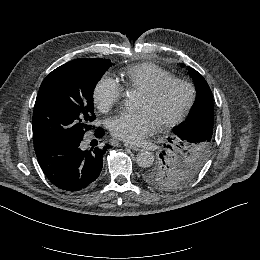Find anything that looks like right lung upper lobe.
I'll return each instance as SVG.
<instances>
[{"label": "right lung upper lobe", "instance_id": "1", "mask_svg": "<svg viewBox=\"0 0 260 260\" xmlns=\"http://www.w3.org/2000/svg\"><path fill=\"white\" fill-rule=\"evenodd\" d=\"M102 60H107V59H76V61L78 62H97V61H102Z\"/></svg>", "mask_w": 260, "mask_h": 260}]
</instances>
